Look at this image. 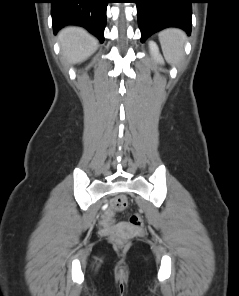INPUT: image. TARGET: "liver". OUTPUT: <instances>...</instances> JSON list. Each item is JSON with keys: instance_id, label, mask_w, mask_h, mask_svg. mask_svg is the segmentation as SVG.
<instances>
[{"instance_id": "liver-1", "label": "liver", "mask_w": 239, "mask_h": 296, "mask_svg": "<svg viewBox=\"0 0 239 296\" xmlns=\"http://www.w3.org/2000/svg\"><path fill=\"white\" fill-rule=\"evenodd\" d=\"M61 52L68 62L80 63L91 56L98 47V41L81 27L69 26L58 35Z\"/></svg>"}]
</instances>
